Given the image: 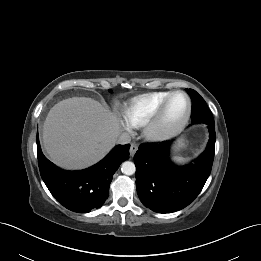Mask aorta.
Returning a JSON list of instances; mask_svg holds the SVG:
<instances>
[{
	"label": "aorta",
	"mask_w": 261,
	"mask_h": 261,
	"mask_svg": "<svg viewBox=\"0 0 261 261\" xmlns=\"http://www.w3.org/2000/svg\"><path fill=\"white\" fill-rule=\"evenodd\" d=\"M121 171L125 175H133L136 171L135 164L130 161H125L121 165Z\"/></svg>",
	"instance_id": "obj_1"
}]
</instances>
